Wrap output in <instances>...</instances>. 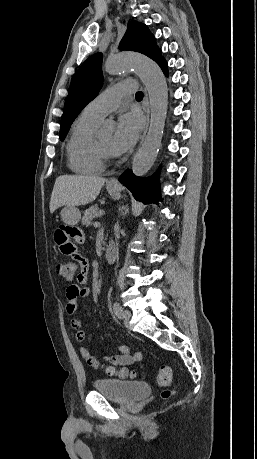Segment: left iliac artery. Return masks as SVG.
<instances>
[{
  "instance_id": "1",
  "label": "left iliac artery",
  "mask_w": 257,
  "mask_h": 459,
  "mask_svg": "<svg viewBox=\"0 0 257 459\" xmlns=\"http://www.w3.org/2000/svg\"><path fill=\"white\" fill-rule=\"evenodd\" d=\"M113 311L118 318H122L123 310L119 303L115 302L113 304Z\"/></svg>"
}]
</instances>
